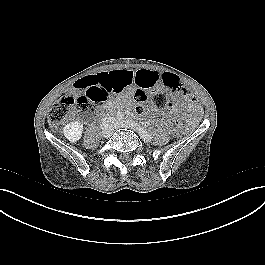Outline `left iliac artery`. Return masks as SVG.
Wrapping results in <instances>:
<instances>
[{"mask_svg": "<svg viewBox=\"0 0 265 265\" xmlns=\"http://www.w3.org/2000/svg\"><path fill=\"white\" fill-rule=\"evenodd\" d=\"M139 133H140V135H141V137L142 138H148L149 136H151L149 133H147V131L144 129V128H142V127H140V129H139Z\"/></svg>", "mask_w": 265, "mask_h": 265, "instance_id": "1", "label": "left iliac artery"}]
</instances>
